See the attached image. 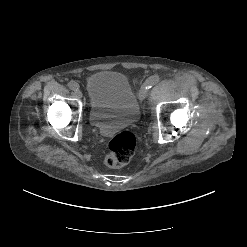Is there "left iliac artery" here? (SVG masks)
Segmentation results:
<instances>
[{
	"instance_id": "left-iliac-artery-1",
	"label": "left iliac artery",
	"mask_w": 247,
	"mask_h": 247,
	"mask_svg": "<svg viewBox=\"0 0 247 247\" xmlns=\"http://www.w3.org/2000/svg\"><path fill=\"white\" fill-rule=\"evenodd\" d=\"M160 80L159 76H152L149 79L146 80V87L150 89L152 86H154L156 83H158Z\"/></svg>"
}]
</instances>
